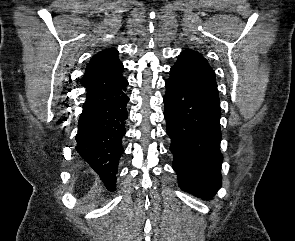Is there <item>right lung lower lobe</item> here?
<instances>
[{
	"label": "right lung lower lobe",
	"instance_id": "obj_1",
	"mask_svg": "<svg viewBox=\"0 0 295 241\" xmlns=\"http://www.w3.org/2000/svg\"><path fill=\"white\" fill-rule=\"evenodd\" d=\"M127 80L114 87L87 93L78 121L76 150L104 182L108 190H115L119 159L124 153Z\"/></svg>",
	"mask_w": 295,
	"mask_h": 241
}]
</instances>
